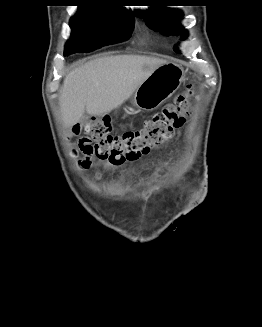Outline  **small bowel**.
<instances>
[{
  "mask_svg": "<svg viewBox=\"0 0 262 327\" xmlns=\"http://www.w3.org/2000/svg\"><path fill=\"white\" fill-rule=\"evenodd\" d=\"M81 129H82V126L81 124L77 123V124H74L71 128V134L73 135H78L80 134L81 132ZM77 154V151H74V155ZM86 157L82 160L79 161V166L80 168L82 169H87L91 166L92 162H91V156H87L85 155ZM99 165L102 166L104 169H110L112 168V165L109 164V163H106V162H102V161H99Z\"/></svg>",
  "mask_w": 262,
  "mask_h": 327,
  "instance_id": "obj_1",
  "label": "small bowel"
}]
</instances>
